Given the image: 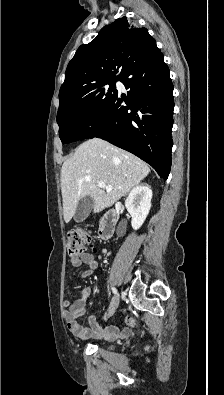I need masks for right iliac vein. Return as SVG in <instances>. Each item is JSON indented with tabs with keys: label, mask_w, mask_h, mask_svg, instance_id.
Listing matches in <instances>:
<instances>
[{
	"label": "right iliac vein",
	"mask_w": 224,
	"mask_h": 395,
	"mask_svg": "<svg viewBox=\"0 0 224 395\" xmlns=\"http://www.w3.org/2000/svg\"><path fill=\"white\" fill-rule=\"evenodd\" d=\"M118 304H119V295H118L117 297H115V298L113 299V301L111 302L109 312H108V314L105 316V318H106V317H110V316H112V315L114 314V312L116 311V309H117V307H118Z\"/></svg>",
	"instance_id": "obj_1"
}]
</instances>
